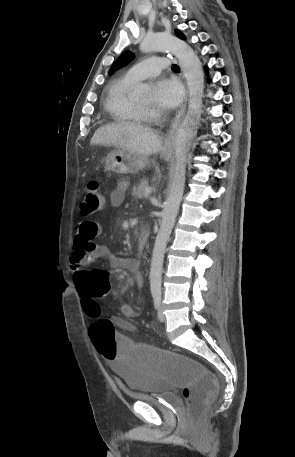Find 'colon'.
<instances>
[{"label":"colon","mask_w":295,"mask_h":457,"mask_svg":"<svg viewBox=\"0 0 295 457\" xmlns=\"http://www.w3.org/2000/svg\"><path fill=\"white\" fill-rule=\"evenodd\" d=\"M105 204L100 184L89 181L80 213L93 215L102 211ZM109 293V273L99 269L87 272V283L81 288V296L85 312L95 319L90 337L96 355L113 363L127 362L128 366H139L140 372H159L166 383H176V389L183 390L186 417L189 421L197 420L217 390V374H210L203 363H196L191 357H182L181 351H165L164 346H136L135 341H128L126 330H115L111 320L100 317L97 299Z\"/></svg>","instance_id":"1"}]
</instances>
